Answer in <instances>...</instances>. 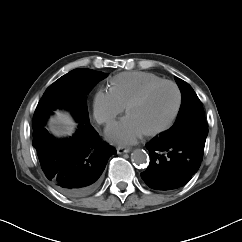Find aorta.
I'll use <instances>...</instances> for the list:
<instances>
[{
    "label": "aorta",
    "instance_id": "762f6f07",
    "mask_svg": "<svg viewBox=\"0 0 242 242\" xmlns=\"http://www.w3.org/2000/svg\"><path fill=\"white\" fill-rule=\"evenodd\" d=\"M136 165H145L149 162V156L145 150L135 149L131 156Z\"/></svg>",
    "mask_w": 242,
    "mask_h": 242
}]
</instances>
